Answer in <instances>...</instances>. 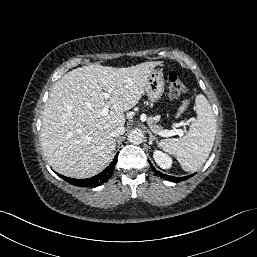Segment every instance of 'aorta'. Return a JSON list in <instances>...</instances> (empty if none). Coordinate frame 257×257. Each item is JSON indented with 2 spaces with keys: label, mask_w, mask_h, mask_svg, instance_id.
Masks as SVG:
<instances>
[{
  "label": "aorta",
  "mask_w": 257,
  "mask_h": 257,
  "mask_svg": "<svg viewBox=\"0 0 257 257\" xmlns=\"http://www.w3.org/2000/svg\"><path fill=\"white\" fill-rule=\"evenodd\" d=\"M143 133L141 130L135 129L131 131L128 135V141L132 144H141L143 142Z\"/></svg>",
  "instance_id": "aorta-1"
}]
</instances>
